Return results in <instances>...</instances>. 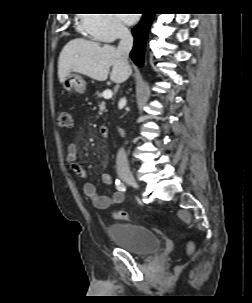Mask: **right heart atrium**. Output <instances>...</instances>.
Here are the masks:
<instances>
[{
    "label": "right heart atrium",
    "instance_id": "right-heart-atrium-1",
    "mask_svg": "<svg viewBox=\"0 0 252 303\" xmlns=\"http://www.w3.org/2000/svg\"><path fill=\"white\" fill-rule=\"evenodd\" d=\"M81 28L93 38L112 43L128 30L116 14H80Z\"/></svg>",
    "mask_w": 252,
    "mask_h": 303
}]
</instances>
